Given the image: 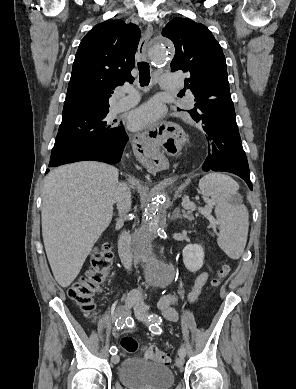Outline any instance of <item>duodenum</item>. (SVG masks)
Returning a JSON list of instances; mask_svg holds the SVG:
<instances>
[{
    "label": "duodenum",
    "instance_id": "obj_1",
    "mask_svg": "<svg viewBox=\"0 0 296 389\" xmlns=\"http://www.w3.org/2000/svg\"><path fill=\"white\" fill-rule=\"evenodd\" d=\"M129 252V246L126 239H122L119 244V253L122 257L127 256Z\"/></svg>",
    "mask_w": 296,
    "mask_h": 389
}]
</instances>
